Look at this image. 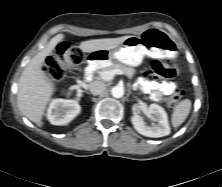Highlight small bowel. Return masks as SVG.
<instances>
[{
  "label": "small bowel",
  "mask_w": 222,
  "mask_h": 187,
  "mask_svg": "<svg viewBox=\"0 0 222 187\" xmlns=\"http://www.w3.org/2000/svg\"><path fill=\"white\" fill-rule=\"evenodd\" d=\"M138 86L143 92L148 93L151 100L155 102L163 101L166 96L170 95L176 88L174 82L157 81L146 78H140L138 80Z\"/></svg>",
  "instance_id": "obj_1"
}]
</instances>
